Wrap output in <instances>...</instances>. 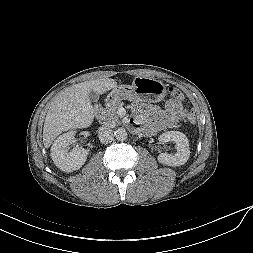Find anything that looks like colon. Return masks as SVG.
<instances>
[{
  "label": "colon",
  "mask_w": 253,
  "mask_h": 253,
  "mask_svg": "<svg viewBox=\"0 0 253 253\" xmlns=\"http://www.w3.org/2000/svg\"><path fill=\"white\" fill-rule=\"evenodd\" d=\"M169 93L170 95L177 99V100H181L183 98V94L182 92L180 91V89L176 88V87H169ZM188 121L192 124L196 123L197 121V116L195 114V112L193 111H190L189 114H188V117H187Z\"/></svg>",
  "instance_id": "5ec220e1"
}]
</instances>
